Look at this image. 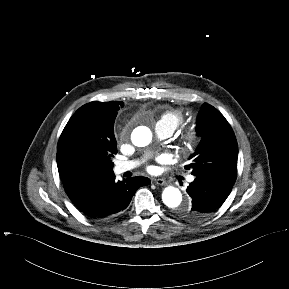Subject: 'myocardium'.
<instances>
[{"label": "myocardium", "mask_w": 289, "mask_h": 289, "mask_svg": "<svg viewBox=\"0 0 289 289\" xmlns=\"http://www.w3.org/2000/svg\"><path fill=\"white\" fill-rule=\"evenodd\" d=\"M198 139H199L198 129L194 125L188 126L182 132L181 142L186 149L193 148L196 145Z\"/></svg>", "instance_id": "1"}]
</instances>
